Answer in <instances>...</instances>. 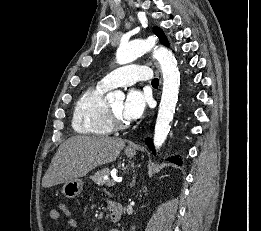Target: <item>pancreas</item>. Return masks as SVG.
Here are the masks:
<instances>
[{
    "instance_id": "pancreas-1",
    "label": "pancreas",
    "mask_w": 261,
    "mask_h": 231,
    "mask_svg": "<svg viewBox=\"0 0 261 231\" xmlns=\"http://www.w3.org/2000/svg\"><path fill=\"white\" fill-rule=\"evenodd\" d=\"M109 174H110V169L109 168H103V169L98 170L94 174V176H92L91 179L95 184L103 185V184L107 183V181L104 180V176L109 175Z\"/></svg>"
}]
</instances>
